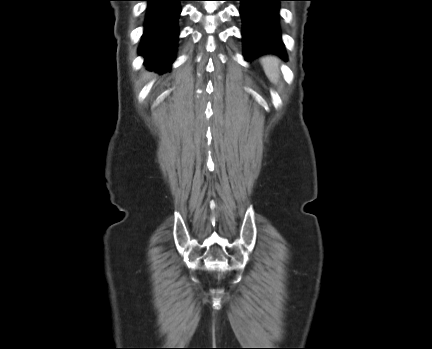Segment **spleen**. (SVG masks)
Instances as JSON below:
<instances>
[{
    "label": "spleen",
    "instance_id": "1",
    "mask_svg": "<svg viewBox=\"0 0 432 349\" xmlns=\"http://www.w3.org/2000/svg\"><path fill=\"white\" fill-rule=\"evenodd\" d=\"M260 62L270 82L277 84L280 78V60L275 56L269 55L262 57Z\"/></svg>",
    "mask_w": 432,
    "mask_h": 349
}]
</instances>
